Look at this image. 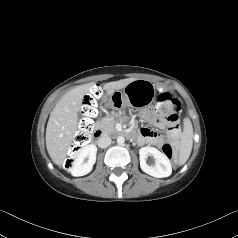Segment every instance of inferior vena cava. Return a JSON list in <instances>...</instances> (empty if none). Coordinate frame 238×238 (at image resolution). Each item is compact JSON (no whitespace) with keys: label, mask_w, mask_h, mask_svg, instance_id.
<instances>
[{"label":"inferior vena cava","mask_w":238,"mask_h":238,"mask_svg":"<svg viewBox=\"0 0 238 238\" xmlns=\"http://www.w3.org/2000/svg\"><path fill=\"white\" fill-rule=\"evenodd\" d=\"M97 144L100 148H106L111 144V138L108 135H102Z\"/></svg>","instance_id":"1"}]
</instances>
